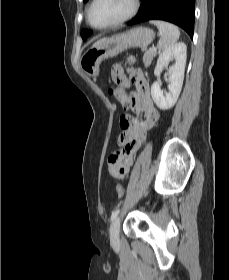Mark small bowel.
Wrapping results in <instances>:
<instances>
[{
	"mask_svg": "<svg viewBox=\"0 0 229 280\" xmlns=\"http://www.w3.org/2000/svg\"><path fill=\"white\" fill-rule=\"evenodd\" d=\"M113 80L127 87L130 81L124 75V69L120 65H116L112 69ZM136 90L126 94L123 88L110 89L109 93L113 95L125 108L131 109L135 114H143L144 119L137 120L131 117L130 127L123 129L118 137V143L121 146H129L132 154L139 148L142 140L149 129H151L160 118V111L154 106L150 93V84L143 76H137L134 80ZM129 115V114H127ZM130 116V115H129ZM111 175L119 179H124L125 174H119L110 171Z\"/></svg>",
	"mask_w": 229,
	"mask_h": 280,
	"instance_id": "small-bowel-1",
	"label": "small bowel"
}]
</instances>
